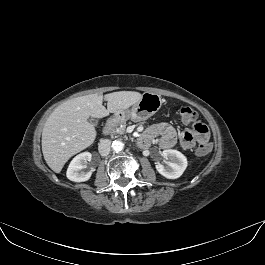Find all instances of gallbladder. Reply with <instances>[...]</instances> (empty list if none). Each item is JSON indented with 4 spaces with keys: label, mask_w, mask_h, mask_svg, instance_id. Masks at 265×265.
Returning <instances> with one entry per match:
<instances>
[{
    "label": "gallbladder",
    "mask_w": 265,
    "mask_h": 265,
    "mask_svg": "<svg viewBox=\"0 0 265 265\" xmlns=\"http://www.w3.org/2000/svg\"><path fill=\"white\" fill-rule=\"evenodd\" d=\"M88 122L94 126L97 125V120L94 117H89Z\"/></svg>",
    "instance_id": "1"
}]
</instances>
